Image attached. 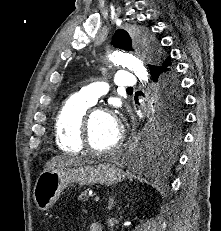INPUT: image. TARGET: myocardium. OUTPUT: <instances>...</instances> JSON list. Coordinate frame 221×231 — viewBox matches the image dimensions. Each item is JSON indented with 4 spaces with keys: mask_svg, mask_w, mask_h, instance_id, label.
Instances as JSON below:
<instances>
[{
    "mask_svg": "<svg viewBox=\"0 0 221 231\" xmlns=\"http://www.w3.org/2000/svg\"><path fill=\"white\" fill-rule=\"evenodd\" d=\"M96 113L111 114L108 109L101 107V106L89 108L86 111L81 121L80 140L83 145V148L86 151L92 154H95V155H106V154L116 151L122 145L123 140H124V133L122 129H119V133H118L116 141L108 148H104V149L95 148L92 145L91 140H90V130H91V120Z\"/></svg>",
    "mask_w": 221,
    "mask_h": 231,
    "instance_id": "myocardium-1",
    "label": "myocardium"
}]
</instances>
